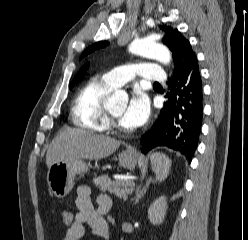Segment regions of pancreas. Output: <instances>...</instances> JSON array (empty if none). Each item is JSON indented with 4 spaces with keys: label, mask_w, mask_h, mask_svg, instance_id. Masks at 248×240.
<instances>
[{
    "label": "pancreas",
    "mask_w": 248,
    "mask_h": 240,
    "mask_svg": "<svg viewBox=\"0 0 248 240\" xmlns=\"http://www.w3.org/2000/svg\"><path fill=\"white\" fill-rule=\"evenodd\" d=\"M93 183L103 192L108 191L115 194L119 198L127 199L132 193V187L128 188L124 181H112L108 175H101L93 179Z\"/></svg>",
    "instance_id": "pancreas-1"
}]
</instances>
